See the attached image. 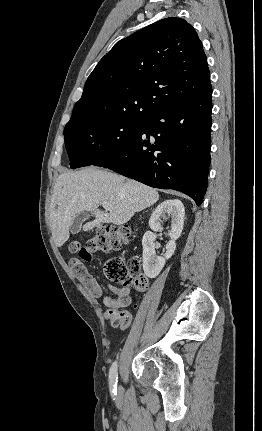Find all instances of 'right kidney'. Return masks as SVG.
I'll return each instance as SVG.
<instances>
[{
  "instance_id": "1",
  "label": "right kidney",
  "mask_w": 262,
  "mask_h": 431,
  "mask_svg": "<svg viewBox=\"0 0 262 431\" xmlns=\"http://www.w3.org/2000/svg\"><path fill=\"white\" fill-rule=\"evenodd\" d=\"M185 208L181 200H166L159 204L153 211L149 226L154 232L162 229L161 222L169 217L171 218V230L169 236L171 240L166 245L164 257L156 255L154 241L156 235L147 231L142 239L143 246V270L149 278H155L163 269L166 260L171 258L176 249V240L181 236L184 225Z\"/></svg>"
}]
</instances>
